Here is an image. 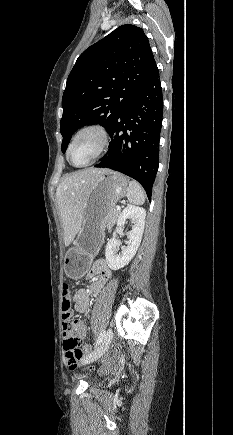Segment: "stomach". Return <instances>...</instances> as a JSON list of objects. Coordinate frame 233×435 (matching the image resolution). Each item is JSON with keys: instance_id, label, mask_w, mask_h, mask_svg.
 I'll return each instance as SVG.
<instances>
[{"instance_id": "stomach-1", "label": "stomach", "mask_w": 233, "mask_h": 435, "mask_svg": "<svg viewBox=\"0 0 233 435\" xmlns=\"http://www.w3.org/2000/svg\"><path fill=\"white\" fill-rule=\"evenodd\" d=\"M127 191L128 180L119 172L107 170L96 179L84 207L81 228L64 257L68 277L78 280L85 276L100 247L110 212Z\"/></svg>"}]
</instances>
